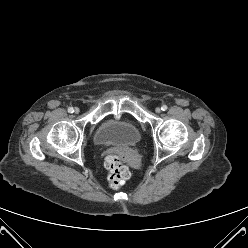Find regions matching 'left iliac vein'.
I'll return each instance as SVG.
<instances>
[{
	"instance_id": "1",
	"label": "left iliac vein",
	"mask_w": 248,
	"mask_h": 248,
	"mask_svg": "<svg viewBox=\"0 0 248 248\" xmlns=\"http://www.w3.org/2000/svg\"><path fill=\"white\" fill-rule=\"evenodd\" d=\"M155 112H156V113H160V112H161V108H160V107H157V108L155 109Z\"/></svg>"
}]
</instances>
